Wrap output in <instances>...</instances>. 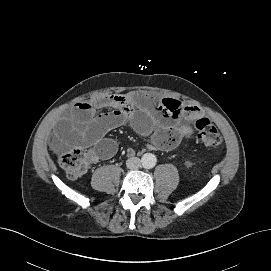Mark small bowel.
Returning a JSON list of instances; mask_svg holds the SVG:
<instances>
[{"label": "small bowel", "instance_id": "small-bowel-1", "mask_svg": "<svg viewBox=\"0 0 271 271\" xmlns=\"http://www.w3.org/2000/svg\"><path fill=\"white\" fill-rule=\"evenodd\" d=\"M111 111L101 113V109ZM202 114L193 105H183L173 98H157L145 91L96 96L75 104L71 113L55 128L53 147L63 150L70 146L89 148L92 162L109 159L117 152V143L106 135L130 122L142 135L153 133V146L171 150L182 139L194 136L189 121Z\"/></svg>", "mask_w": 271, "mask_h": 271}]
</instances>
